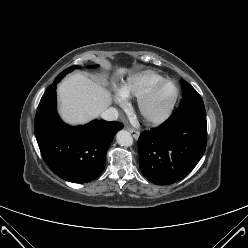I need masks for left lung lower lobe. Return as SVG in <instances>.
<instances>
[{"label":"left lung lower lobe","mask_w":248,"mask_h":248,"mask_svg":"<svg viewBox=\"0 0 248 248\" xmlns=\"http://www.w3.org/2000/svg\"><path fill=\"white\" fill-rule=\"evenodd\" d=\"M207 144L204 105L175 111L163 124L140 134L139 165L143 175L158 185L175 183L188 175Z\"/></svg>","instance_id":"obj_1"}]
</instances>
